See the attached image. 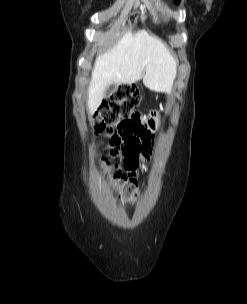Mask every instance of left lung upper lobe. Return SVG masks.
Returning a JSON list of instances; mask_svg holds the SVG:
<instances>
[{
  "label": "left lung upper lobe",
  "instance_id": "obj_1",
  "mask_svg": "<svg viewBox=\"0 0 247 304\" xmlns=\"http://www.w3.org/2000/svg\"><path fill=\"white\" fill-rule=\"evenodd\" d=\"M175 2L178 4L180 2V0H175Z\"/></svg>",
  "mask_w": 247,
  "mask_h": 304
}]
</instances>
